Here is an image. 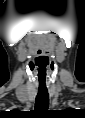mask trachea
Segmentation results:
<instances>
[{"instance_id":"obj_1","label":"trachea","mask_w":85,"mask_h":118,"mask_svg":"<svg viewBox=\"0 0 85 118\" xmlns=\"http://www.w3.org/2000/svg\"><path fill=\"white\" fill-rule=\"evenodd\" d=\"M49 98H48V91L46 89H39L37 96L35 107L38 111L44 110L48 107Z\"/></svg>"}]
</instances>
